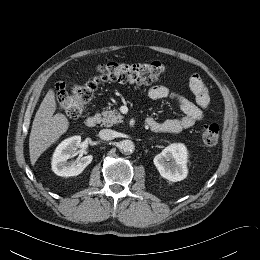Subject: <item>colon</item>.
<instances>
[{"instance_id":"5ec220e1","label":"colon","mask_w":260,"mask_h":260,"mask_svg":"<svg viewBox=\"0 0 260 260\" xmlns=\"http://www.w3.org/2000/svg\"><path fill=\"white\" fill-rule=\"evenodd\" d=\"M167 70L159 61L149 63H107L97 67L96 72L82 84L68 90L65 83L55 86L59 109L71 118H78L86 105L92 100L98 86L107 81L129 82L148 85L156 82ZM220 129L217 124L206 126L202 140L207 146H214L219 139Z\"/></svg>"}]
</instances>
